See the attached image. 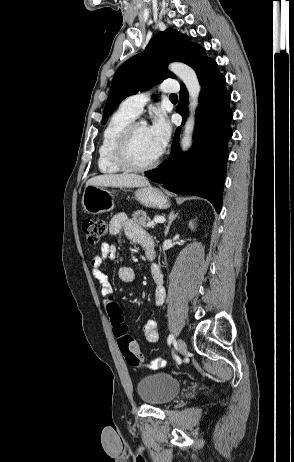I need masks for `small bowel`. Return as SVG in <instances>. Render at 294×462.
Masks as SVG:
<instances>
[{
  "label": "small bowel",
  "mask_w": 294,
  "mask_h": 462,
  "mask_svg": "<svg viewBox=\"0 0 294 462\" xmlns=\"http://www.w3.org/2000/svg\"><path fill=\"white\" fill-rule=\"evenodd\" d=\"M109 232L112 235L124 233L130 240L140 244L142 247L148 243L154 245L150 236L123 213H118L112 217L109 222ZM117 250L118 247L115 243L105 242L101 246L100 253L91 261L92 274L101 285V295L104 305L112 298L113 290L108 276L102 270V266L106 260H112L116 257ZM151 273L156 284L153 301L154 305L158 307L165 300V289L163 287V274L157 263L152 265ZM118 276L124 283H132L135 280V272L130 266H121L118 270ZM143 332L148 342L155 343L158 341L159 333L154 320L148 319L144 322ZM164 366L165 361L161 358H157L148 365L150 369H159Z\"/></svg>",
  "instance_id": "obj_1"
}]
</instances>
